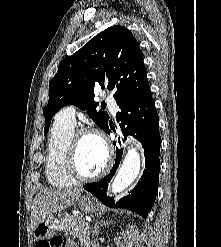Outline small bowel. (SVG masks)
Instances as JSON below:
<instances>
[{
    "label": "small bowel",
    "mask_w": 221,
    "mask_h": 247,
    "mask_svg": "<svg viewBox=\"0 0 221 247\" xmlns=\"http://www.w3.org/2000/svg\"><path fill=\"white\" fill-rule=\"evenodd\" d=\"M43 241H45V240H43ZM38 242H41V241H38ZM38 242H37V243H38ZM36 245H37V244H36ZM61 247H74V245L71 244V243H68V242H64V243L62 244Z\"/></svg>",
    "instance_id": "obj_1"
}]
</instances>
